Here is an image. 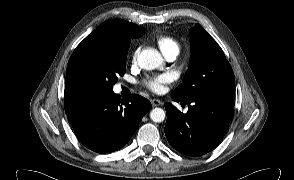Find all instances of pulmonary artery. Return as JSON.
<instances>
[{"label": "pulmonary artery", "mask_w": 294, "mask_h": 180, "mask_svg": "<svg viewBox=\"0 0 294 180\" xmlns=\"http://www.w3.org/2000/svg\"><path fill=\"white\" fill-rule=\"evenodd\" d=\"M177 53H169L165 56L166 60L171 62V61H174L177 57Z\"/></svg>", "instance_id": "obj_1"}]
</instances>
